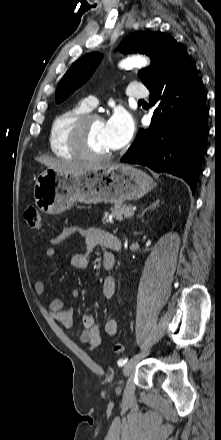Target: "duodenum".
<instances>
[{
  "instance_id": "410a0bca",
  "label": "duodenum",
  "mask_w": 221,
  "mask_h": 440,
  "mask_svg": "<svg viewBox=\"0 0 221 440\" xmlns=\"http://www.w3.org/2000/svg\"><path fill=\"white\" fill-rule=\"evenodd\" d=\"M110 248L114 251H119L121 249V242L119 239L115 238L110 243ZM115 260L113 258H108L104 261V267L107 270H111L114 267Z\"/></svg>"
}]
</instances>
